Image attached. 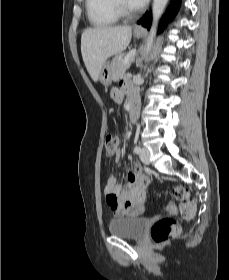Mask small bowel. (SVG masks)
<instances>
[{"label":"small bowel","instance_id":"c3829d8e","mask_svg":"<svg viewBox=\"0 0 229 280\" xmlns=\"http://www.w3.org/2000/svg\"><path fill=\"white\" fill-rule=\"evenodd\" d=\"M132 91L137 93L134 86L125 80L121 82L119 88L112 89L110 95L114 101L121 102L125 95ZM114 160L117 165L120 164L121 154L119 149L114 153ZM125 174L128 182L126 184H118L113 174L107 177L104 189L107 203L117 218L141 216L144 213L147 181L142 175L139 164H135L132 171L126 170Z\"/></svg>","mask_w":229,"mask_h":280}]
</instances>
